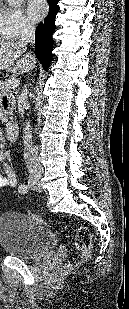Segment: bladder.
Here are the masks:
<instances>
[{"label": "bladder", "instance_id": "obj_1", "mask_svg": "<svg viewBox=\"0 0 129 309\" xmlns=\"http://www.w3.org/2000/svg\"><path fill=\"white\" fill-rule=\"evenodd\" d=\"M0 246L9 255L34 259L54 250L56 237L29 215L6 212L0 215Z\"/></svg>", "mask_w": 129, "mask_h": 309}]
</instances>
